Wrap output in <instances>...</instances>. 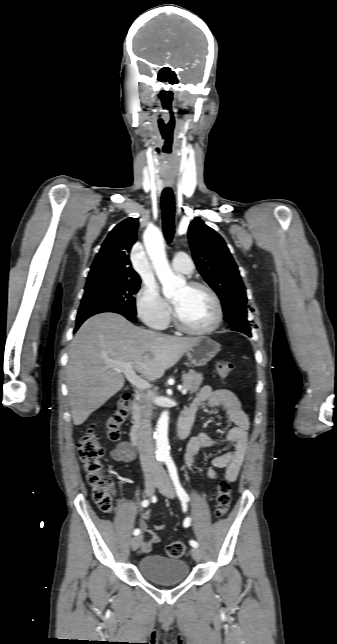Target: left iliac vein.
I'll use <instances>...</instances> for the list:
<instances>
[{
    "label": "left iliac vein",
    "instance_id": "obj_1",
    "mask_svg": "<svg viewBox=\"0 0 337 644\" xmlns=\"http://www.w3.org/2000/svg\"><path fill=\"white\" fill-rule=\"evenodd\" d=\"M158 489L160 493H162L164 496L168 498L174 497V490H173L172 484L170 482L168 475L164 471L160 476ZM191 555L195 561L197 562L201 561L202 554L200 549H198L197 547L196 548L194 547L191 549Z\"/></svg>",
    "mask_w": 337,
    "mask_h": 644
}]
</instances>
